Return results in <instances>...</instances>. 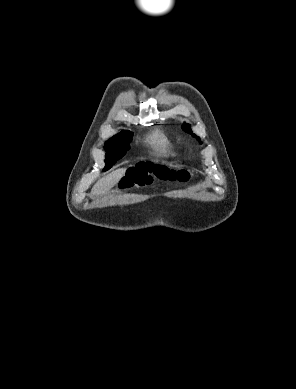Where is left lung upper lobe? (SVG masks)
Wrapping results in <instances>:
<instances>
[{"label":"left lung upper lobe","instance_id":"obj_1","mask_svg":"<svg viewBox=\"0 0 296 389\" xmlns=\"http://www.w3.org/2000/svg\"><path fill=\"white\" fill-rule=\"evenodd\" d=\"M182 129L190 134H192L193 137H196L198 140H200L199 137H197L192 131H191V128H190V125L189 124H183L182 125Z\"/></svg>","mask_w":296,"mask_h":389}]
</instances>
